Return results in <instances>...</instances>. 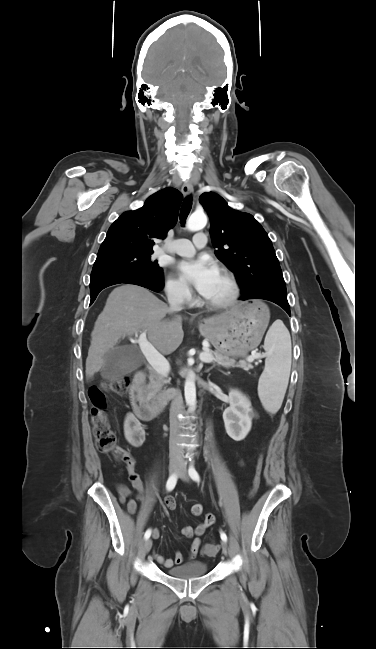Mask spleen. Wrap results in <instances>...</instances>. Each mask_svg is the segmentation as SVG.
<instances>
[{
    "label": "spleen",
    "mask_w": 376,
    "mask_h": 649,
    "mask_svg": "<svg viewBox=\"0 0 376 649\" xmlns=\"http://www.w3.org/2000/svg\"><path fill=\"white\" fill-rule=\"evenodd\" d=\"M264 349L265 368L258 382V395L263 407L274 414L281 407L291 369V338L281 321L269 328Z\"/></svg>",
    "instance_id": "spleen-1"
}]
</instances>
